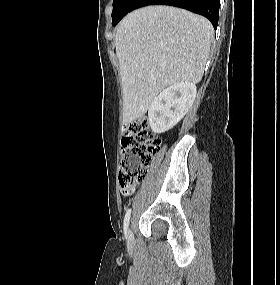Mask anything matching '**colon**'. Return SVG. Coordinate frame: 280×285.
Returning a JSON list of instances; mask_svg holds the SVG:
<instances>
[{"label":"colon","instance_id":"5ec220e1","mask_svg":"<svg viewBox=\"0 0 280 285\" xmlns=\"http://www.w3.org/2000/svg\"><path fill=\"white\" fill-rule=\"evenodd\" d=\"M160 144V138L151 130L146 118H137L125 127L118 177L123 195H131L136 190L147 174Z\"/></svg>","mask_w":280,"mask_h":285}]
</instances>
